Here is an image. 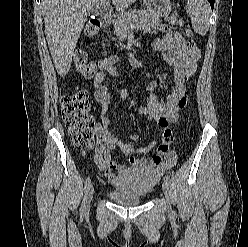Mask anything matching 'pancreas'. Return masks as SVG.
<instances>
[{
	"mask_svg": "<svg viewBox=\"0 0 248 247\" xmlns=\"http://www.w3.org/2000/svg\"><path fill=\"white\" fill-rule=\"evenodd\" d=\"M172 24L183 25L181 20L170 19ZM160 26L159 16L145 10H129L114 21V33L123 40L134 29H151Z\"/></svg>",
	"mask_w": 248,
	"mask_h": 247,
	"instance_id": "pancreas-1",
	"label": "pancreas"
}]
</instances>
